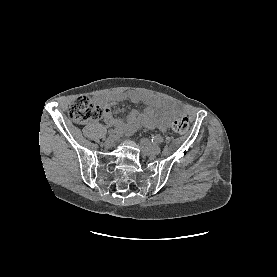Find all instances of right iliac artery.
Wrapping results in <instances>:
<instances>
[{"instance_id": "82829eb1", "label": "right iliac artery", "mask_w": 277, "mask_h": 277, "mask_svg": "<svg viewBox=\"0 0 277 277\" xmlns=\"http://www.w3.org/2000/svg\"><path fill=\"white\" fill-rule=\"evenodd\" d=\"M124 129H125L124 126H117L116 128L109 130V135L122 133Z\"/></svg>"}]
</instances>
